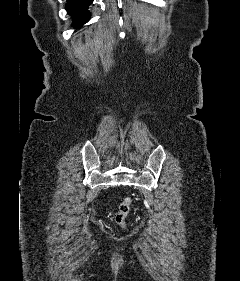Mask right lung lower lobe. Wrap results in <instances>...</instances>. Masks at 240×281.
<instances>
[{"label":"right lung lower lobe","mask_w":240,"mask_h":281,"mask_svg":"<svg viewBox=\"0 0 240 281\" xmlns=\"http://www.w3.org/2000/svg\"><path fill=\"white\" fill-rule=\"evenodd\" d=\"M93 0H67L66 10L73 16V26L80 27L90 19L89 5Z\"/></svg>","instance_id":"right-lung-lower-lobe-1"}]
</instances>
